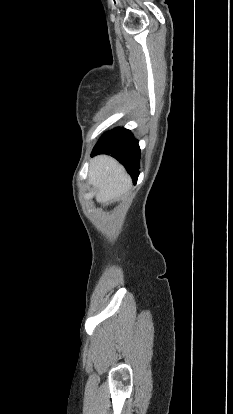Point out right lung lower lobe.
<instances>
[{
    "label": "right lung lower lobe",
    "mask_w": 233,
    "mask_h": 414,
    "mask_svg": "<svg viewBox=\"0 0 233 414\" xmlns=\"http://www.w3.org/2000/svg\"><path fill=\"white\" fill-rule=\"evenodd\" d=\"M97 154H111L115 157L125 166L136 184L139 175L140 148L138 141L129 130L115 128L104 134L94 147L91 156Z\"/></svg>",
    "instance_id": "right-lung-lower-lobe-1"
}]
</instances>
